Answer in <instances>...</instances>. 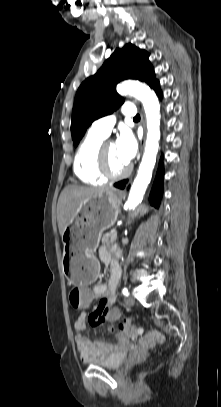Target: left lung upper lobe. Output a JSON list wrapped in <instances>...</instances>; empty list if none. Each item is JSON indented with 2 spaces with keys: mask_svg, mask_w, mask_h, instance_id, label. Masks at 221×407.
Returning <instances> with one entry per match:
<instances>
[{
  "mask_svg": "<svg viewBox=\"0 0 221 407\" xmlns=\"http://www.w3.org/2000/svg\"><path fill=\"white\" fill-rule=\"evenodd\" d=\"M149 54L127 44L105 61L96 74L87 78L78 88L72 111L71 133L77 146L90 124L103 116L113 113L124 102L115 91L118 82L137 79L151 88L158 82Z\"/></svg>",
  "mask_w": 221,
  "mask_h": 407,
  "instance_id": "obj_1",
  "label": "left lung upper lobe"
}]
</instances>
